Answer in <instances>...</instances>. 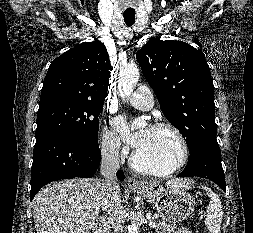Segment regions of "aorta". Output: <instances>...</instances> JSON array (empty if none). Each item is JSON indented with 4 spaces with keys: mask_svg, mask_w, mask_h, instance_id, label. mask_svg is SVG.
<instances>
[{
    "mask_svg": "<svg viewBox=\"0 0 253 233\" xmlns=\"http://www.w3.org/2000/svg\"><path fill=\"white\" fill-rule=\"evenodd\" d=\"M139 75V69L134 64L120 69L118 91L121 97L125 98L132 93L139 81ZM144 124V120L137 118L132 122L131 129L141 127ZM128 233H138V226L134 222L128 225Z\"/></svg>",
    "mask_w": 253,
    "mask_h": 233,
    "instance_id": "obj_1",
    "label": "aorta"
}]
</instances>
